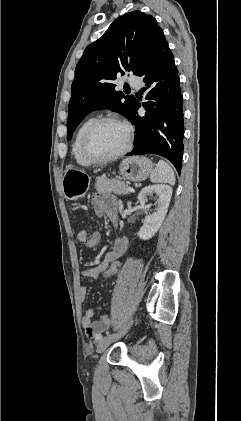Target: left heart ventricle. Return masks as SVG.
Returning a JSON list of instances; mask_svg holds the SVG:
<instances>
[{
    "mask_svg": "<svg viewBox=\"0 0 241 421\" xmlns=\"http://www.w3.org/2000/svg\"><path fill=\"white\" fill-rule=\"evenodd\" d=\"M126 142V129L117 123H104L92 134L89 141L91 152L97 156H108L119 151Z\"/></svg>",
    "mask_w": 241,
    "mask_h": 421,
    "instance_id": "b2bd125f",
    "label": "left heart ventricle"
}]
</instances>
